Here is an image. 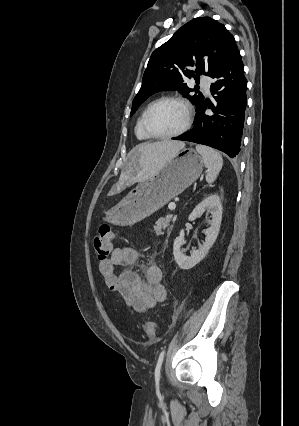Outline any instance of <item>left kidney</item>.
<instances>
[{"instance_id": "obj_1", "label": "left kidney", "mask_w": 299, "mask_h": 426, "mask_svg": "<svg viewBox=\"0 0 299 426\" xmlns=\"http://www.w3.org/2000/svg\"><path fill=\"white\" fill-rule=\"evenodd\" d=\"M205 209L210 211L212 220L211 226L204 231L206 237L203 245L199 246L197 250H193L191 256H186L181 248L185 242L184 230H181L179 236L174 240L173 255L176 263L181 269L188 270L197 265L206 256L217 239L222 220V205L218 195H209L203 199L194 208L188 220H195Z\"/></svg>"}]
</instances>
